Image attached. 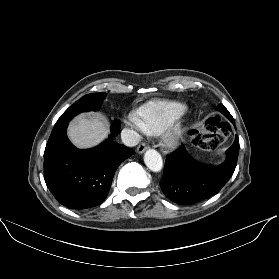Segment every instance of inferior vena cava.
<instances>
[{
	"instance_id": "1",
	"label": "inferior vena cava",
	"mask_w": 279,
	"mask_h": 279,
	"mask_svg": "<svg viewBox=\"0 0 279 279\" xmlns=\"http://www.w3.org/2000/svg\"><path fill=\"white\" fill-rule=\"evenodd\" d=\"M121 139L126 146L133 147L139 144L140 136L139 134L130 129H123L121 132Z\"/></svg>"
}]
</instances>
